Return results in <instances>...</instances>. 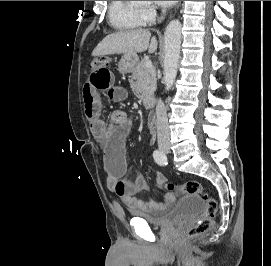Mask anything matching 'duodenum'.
Wrapping results in <instances>:
<instances>
[{
  "mask_svg": "<svg viewBox=\"0 0 271 266\" xmlns=\"http://www.w3.org/2000/svg\"><path fill=\"white\" fill-rule=\"evenodd\" d=\"M146 102L149 104V105H153L154 102H155V98L153 96H147L146 97Z\"/></svg>",
  "mask_w": 271,
  "mask_h": 266,
  "instance_id": "1",
  "label": "duodenum"
}]
</instances>
